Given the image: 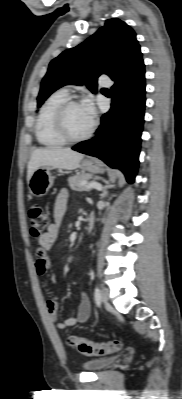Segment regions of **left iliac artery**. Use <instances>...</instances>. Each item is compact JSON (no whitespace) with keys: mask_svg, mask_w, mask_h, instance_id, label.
<instances>
[{"mask_svg":"<svg viewBox=\"0 0 182 399\" xmlns=\"http://www.w3.org/2000/svg\"><path fill=\"white\" fill-rule=\"evenodd\" d=\"M94 300L97 306L101 305V291L98 287H96L94 290Z\"/></svg>","mask_w":182,"mask_h":399,"instance_id":"left-iliac-artery-1","label":"left iliac artery"}]
</instances>
